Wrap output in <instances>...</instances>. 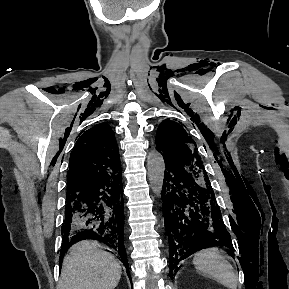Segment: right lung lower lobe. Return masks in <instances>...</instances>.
<instances>
[{"mask_svg":"<svg viewBox=\"0 0 289 289\" xmlns=\"http://www.w3.org/2000/svg\"><path fill=\"white\" fill-rule=\"evenodd\" d=\"M123 231L121 173L114 177L105 176L80 192L67 194L65 219L61 231L63 244L60 251V265L64 254L72 244L92 239L103 243L116 253L129 275Z\"/></svg>","mask_w":289,"mask_h":289,"instance_id":"right-lung-lower-lobe-1","label":"right lung lower lobe"}]
</instances>
